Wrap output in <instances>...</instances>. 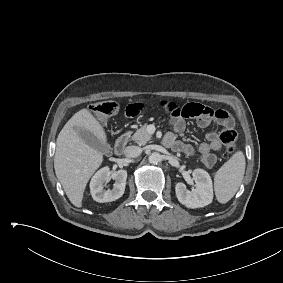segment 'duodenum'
Listing matches in <instances>:
<instances>
[{
    "label": "duodenum",
    "instance_id": "obj_1",
    "mask_svg": "<svg viewBox=\"0 0 283 283\" xmlns=\"http://www.w3.org/2000/svg\"><path fill=\"white\" fill-rule=\"evenodd\" d=\"M128 143V134H122L115 142L114 152L116 155H121Z\"/></svg>",
    "mask_w": 283,
    "mask_h": 283
}]
</instances>
